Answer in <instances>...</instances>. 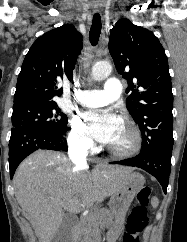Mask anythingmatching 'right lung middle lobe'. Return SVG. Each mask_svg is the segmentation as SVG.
Returning a JSON list of instances; mask_svg holds the SVG:
<instances>
[{
  "label": "right lung middle lobe",
  "instance_id": "dd1d6c3e",
  "mask_svg": "<svg viewBox=\"0 0 187 242\" xmlns=\"http://www.w3.org/2000/svg\"><path fill=\"white\" fill-rule=\"evenodd\" d=\"M68 122L56 102L27 103L13 106L12 132L47 131L64 135Z\"/></svg>",
  "mask_w": 187,
  "mask_h": 242
}]
</instances>
